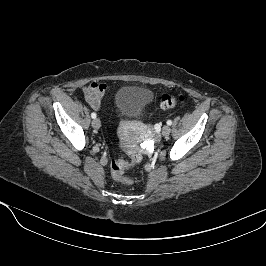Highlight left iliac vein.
<instances>
[{
  "mask_svg": "<svg viewBox=\"0 0 266 266\" xmlns=\"http://www.w3.org/2000/svg\"><path fill=\"white\" fill-rule=\"evenodd\" d=\"M170 132H171L170 126L164 125L162 128V135L167 137V136H169Z\"/></svg>",
  "mask_w": 266,
  "mask_h": 266,
  "instance_id": "left-iliac-vein-1",
  "label": "left iliac vein"
}]
</instances>
